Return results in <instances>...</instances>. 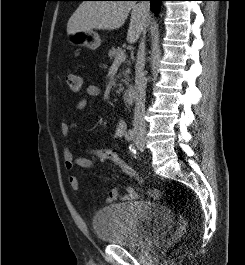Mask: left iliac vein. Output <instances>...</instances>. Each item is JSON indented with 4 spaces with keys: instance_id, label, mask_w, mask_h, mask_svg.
Here are the masks:
<instances>
[{
    "instance_id": "4c4485c4",
    "label": "left iliac vein",
    "mask_w": 245,
    "mask_h": 265,
    "mask_svg": "<svg viewBox=\"0 0 245 265\" xmlns=\"http://www.w3.org/2000/svg\"><path fill=\"white\" fill-rule=\"evenodd\" d=\"M137 147H138V149H139L140 151H143V150H144V145H139V144H137Z\"/></svg>"
}]
</instances>
